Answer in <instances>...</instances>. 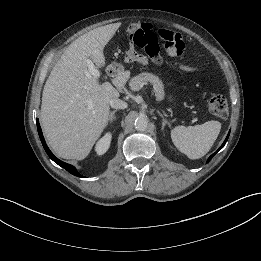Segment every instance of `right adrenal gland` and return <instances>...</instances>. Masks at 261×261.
I'll return each mask as SVG.
<instances>
[{
	"instance_id": "right-adrenal-gland-1",
	"label": "right adrenal gland",
	"mask_w": 261,
	"mask_h": 261,
	"mask_svg": "<svg viewBox=\"0 0 261 261\" xmlns=\"http://www.w3.org/2000/svg\"><path fill=\"white\" fill-rule=\"evenodd\" d=\"M117 112V110H113L112 112H110L109 114V123L112 124L115 121V113Z\"/></svg>"
}]
</instances>
